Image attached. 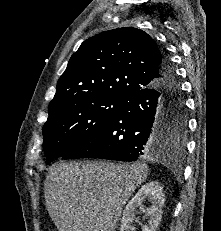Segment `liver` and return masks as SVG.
<instances>
[{
    "mask_svg": "<svg viewBox=\"0 0 221 231\" xmlns=\"http://www.w3.org/2000/svg\"><path fill=\"white\" fill-rule=\"evenodd\" d=\"M148 173L145 163L57 162L44 182L45 205L59 231H115Z\"/></svg>",
    "mask_w": 221,
    "mask_h": 231,
    "instance_id": "liver-1",
    "label": "liver"
}]
</instances>
